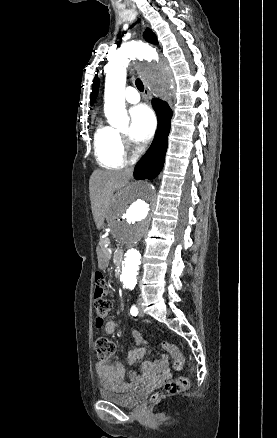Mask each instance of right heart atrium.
I'll list each match as a JSON object with an SVG mask.
<instances>
[{
    "label": "right heart atrium",
    "mask_w": 277,
    "mask_h": 438,
    "mask_svg": "<svg viewBox=\"0 0 277 438\" xmlns=\"http://www.w3.org/2000/svg\"><path fill=\"white\" fill-rule=\"evenodd\" d=\"M124 143H125V142L122 140V145H123V146H124Z\"/></svg>",
    "instance_id": "d8ad5b80"
}]
</instances>
